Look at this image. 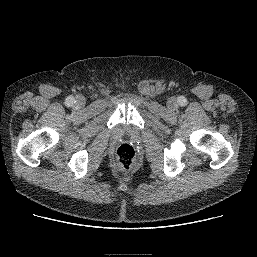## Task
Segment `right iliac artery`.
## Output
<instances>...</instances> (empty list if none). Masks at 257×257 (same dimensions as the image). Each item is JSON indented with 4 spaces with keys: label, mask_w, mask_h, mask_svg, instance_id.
<instances>
[{
    "label": "right iliac artery",
    "mask_w": 257,
    "mask_h": 257,
    "mask_svg": "<svg viewBox=\"0 0 257 257\" xmlns=\"http://www.w3.org/2000/svg\"><path fill=\"white\" fill-rule=\"evenodd\" d=\"M74 102H75V101H74V98H73L72 96H69V97L66 98V104H67L68 106L73 105Z\"/></svg>",
    "instance_id": "1"
}]
</instances>
